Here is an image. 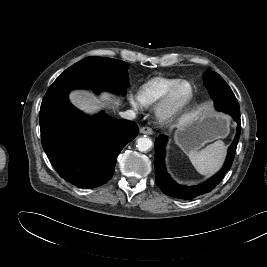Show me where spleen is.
<instances>
[{"label":"spleen","mask_w":267,"mask_h":267,"mask_svg":"<svg viewBox=\"0 0 267 267\" xmlns=\"http://www.w3.org/2000/svg\"><path fill=\"white\" fill-rule=\"evenodd\" d=\"M225 156L226 146L221 140L207 145L200 151L194 150L188 154L191 163L202 175L217 172L221 168Z\"/></svg>","instance_id":"spleen-1"}]
</instances>
